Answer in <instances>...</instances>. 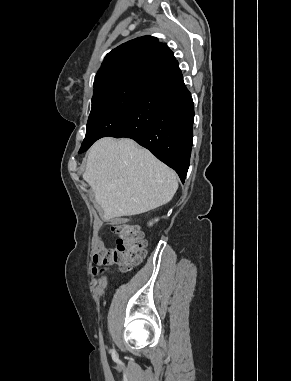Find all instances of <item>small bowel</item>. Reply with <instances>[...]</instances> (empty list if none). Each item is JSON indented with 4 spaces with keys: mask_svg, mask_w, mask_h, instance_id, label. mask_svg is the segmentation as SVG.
<instances>
[{
    "mask_svg": "<svg viewBox=\"0 0 291 381\" xmlns=\"http://www.w3.org/2000/svg\"><path fill=\"white\" fill-rule=\"evenodd\" d=\"M101 247H103V245H102V241L99 240V241H98V249L101 248Z\"/></svg>",
    "mask_w": 291,
    "mask_h": 381,
    "instance_id": "obj_1",
    "label": "small bowel"
}]
</instances>
